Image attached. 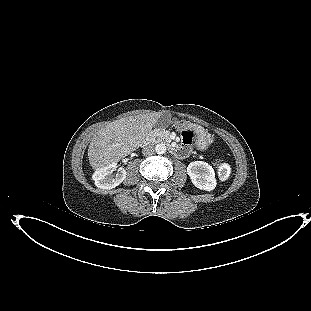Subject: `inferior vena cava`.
<instances>
[{"label":"inferior vena cava","instance_id":"inferior-vena-cava-1","mask_svg":"<svg viewBox=\"0 0 311 311\" xmlns=\"http://www.w3.org/2000/svg\"><path fill=\"white\" fill-rule=\"evenodd\" d=\"M155 152V148L152 145H148L142 149L143 155L150 156Z\"/></svg>","mask_w":311,"mask_h":311}]
</instances>
